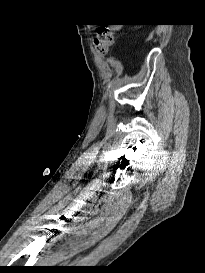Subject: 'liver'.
<instances>
[{
  "mask_svg": "<svg viewBox=\"0 0 205 273\" xmlns=\"http://www.w3.org/2000/svg\"><path fill=\"white\" fill-rule=\"evenodd\" d=\"M112 27H114V28H112L113 30H120L121 28V26L120 25H114V26H112Z\"/></svg>",
  "mask_w": 205,
  "mask_h": 273,
  "instance_id": "6515ba94",
  "label": "liver"
}]
</instances>
